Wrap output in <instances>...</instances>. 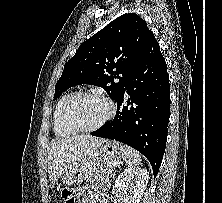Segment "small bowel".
Returning <instances> with one entry per match:
<instances>
[{"label":"small bowel","instance_id":"c3829d8e","mask_svg":"<svg viewBox=\"0 0 222 203\" xmlns=\"http://www.w3.org/2000/svg\"><path fill=\"white\" fill-rule=\"evenodd\" d=\"M73 197L74 203H80V200L86 198H94L95 203H104L99 199L98 194H96L91 188L88 187H84L77 190Z\"/></svg>","mask_w":222,"mask_h":203}]
</instances>
